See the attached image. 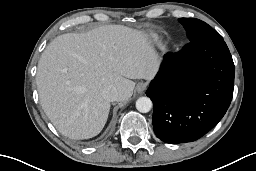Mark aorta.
<instances>
[{"mask_svg":"<svg viewBox=\"0 0 256 171\" xmlns=\"http://www.w3.org/2000/svg\"><path fill=\"white\" fill-rule=\"evenodd\" d=\"M152 105V101L149 97H140L136 101V109L141 113L149 112Z\"/></svg>","mask_w":256,"mask_h":171,"instance_id":"obj_1","label":"aorta"}]
</instances>
